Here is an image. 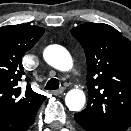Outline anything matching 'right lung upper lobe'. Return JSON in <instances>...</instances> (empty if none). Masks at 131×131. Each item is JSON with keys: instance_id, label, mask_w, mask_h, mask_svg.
<instances>
[{"instance_id": "obj_1", "label": "right lung upper lobe", "mask_w": 131, "mask_h": 131, "mask_svg": "<svg viewBox=\"0 0 131 131\" xmlns=\"http://www.w3.org/2000/svg\"><path fill=\"white\" fill-rule=\"evenodd\" d=\"M44 32V28L25 24L0 28V121H13L32 114L46 98L34 92L30 84L26 90L20 87L24 75L22 56Z\"/></svg>"}]
</instances>
